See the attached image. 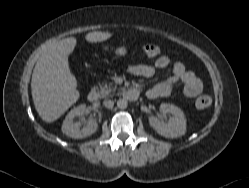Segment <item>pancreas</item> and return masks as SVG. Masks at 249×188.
<instances>
[{"instance_id": "cf45deb5", "label": "pancreas", "mask_w": 249, "mask_h": 188, "mask_svg": "<svg viewBox=\"0 0 249 188\" xmlns=\"http://www.w3.org/2000/svg\"><path fill=\"white\" fill-rule=\"evenodd\" d=\"M99 87H100L101 98L108 97L110 95V93L115 90V87L113 88L112 84H107V83L100 84Z\"/></svg>"}]
</instances>
